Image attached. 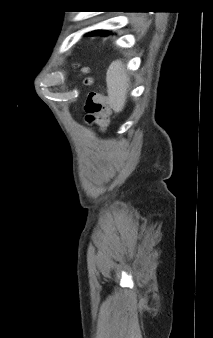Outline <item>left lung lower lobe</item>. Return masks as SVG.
Instances as JSON below:
<instances>
[{
	"label": "left lung lower lobe",
	"instance_id": "0a47b994",
	"mask_svg": "<svg viewBox=\"0 0 213 338\" xmlns=\"http://www.w3.org/2000/svg\"><path fill=\"white\" fill-rule=\"evenodd\" d=\"M109 34H110L109 31H101V30L88 33V35H103V36H106Z\"/></svg>",
	"mask_w": 213,
	"mask_h": 338
}]
</instances>
